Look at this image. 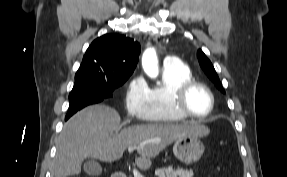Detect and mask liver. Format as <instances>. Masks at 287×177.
I'll list each match as a JSON object with an SVG mask.
<instances>
[{"label": "liver", "instance_id": "6515ba94", "mask_svg": "<svg viewBox=\"0 0 287 177\" xmlns=\"http://www.w3.org/2000/svg\"><path fill=\"white\" fill-rule=\"evenodd\" d=\"M120 122L118 112L106 105L89 106L72 116L59 136L54 176L80 174L87 157L103 162L116 161L130 146H137L136 165L148 169L151 159L177 139L187 135L206 136L210 132L194 122L141 124L122 130Z\"/></svg>", "mask_w": 287, "mask_h": 177}]
</instances>
